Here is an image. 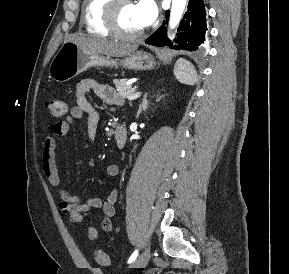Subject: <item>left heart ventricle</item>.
Here are the masks:
<instances>
[{
  "mask_svg": "<svg viewBox=\"0 0 289 274\" xmlns=\"http://www.w3.org/2000/svg\"><path fill=\"white\" fill-rule=\"evenodd\" d=\"M118 21L121 29L125 32H137L144 28L137 17L133 3L121 6Z\"/></svg>",
  "mask_w": 289,
  "mask_h": 274,
  "instance_id": "obj_1",
  "label": "left heart ventricle"
}]
</instances>
